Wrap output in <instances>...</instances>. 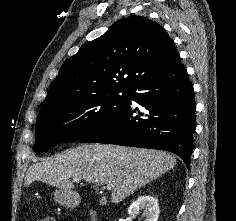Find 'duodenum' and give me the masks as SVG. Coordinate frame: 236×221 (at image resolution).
<instances>
[{
	"mask_svg": "<svg viewBox=\"0 0 236 221\" xmlns=\"http://www.w3.org/2000/svg\"><path fill=\"white\" fill-rule=\"evenodd\" d=\"M90 216H91V218H92V221H96V213H95V211L94 210H90Z\"/></svg>",
	"mask_w": 236,
	"mask_h": 221,
	"instance_id": "obj_1",
	"label": "duodenum"
}]
</instances>
